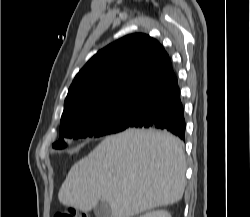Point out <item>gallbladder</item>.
<instances>
[{
    "label": "gallbladder",
    "instance_id": "gallbladder-1",
    "mask_svg": "<svg viewBox=\"0 0 250 217\" xmlns=\"http://www.w3.org/2000/svg\"><path fill=\"white\" fill-rule=\"evenodd\" d=\"M96 217H112L111 208L108 203L100 202L95 208Z\"/></svg>",
    "mask_w": 250,
    "mask_h": 217
}]
</instances>
